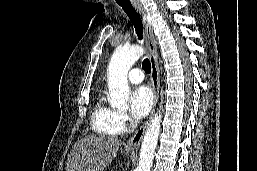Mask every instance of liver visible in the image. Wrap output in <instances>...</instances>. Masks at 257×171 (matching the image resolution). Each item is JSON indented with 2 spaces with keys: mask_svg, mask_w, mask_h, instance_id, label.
<instances>
[{
  "mask_svg": "<svg viewBox=\"0 0 257 171\" xmlns=\"http://www.w3.org/2000/svg\"><path fill=\"white\" fill-rule=\"evenodd\" d=\"M122 141L115 137L86 136L73 146L65 171H103L117 156Z\"/></svg>",
  "mask_w": 257,
  "mask_h": 171,
  "instance_id": "1",
  "label": "liver"
}]
</instances>
